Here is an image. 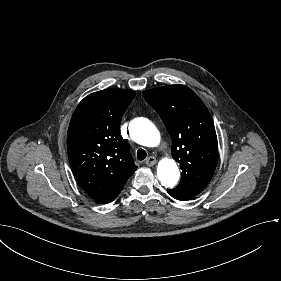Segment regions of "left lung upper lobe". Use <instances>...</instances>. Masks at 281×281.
I'll use <instances>...</instances> for the list:
<instances>
[{
  "mask_svg": "<svg viewBox=\"0 0 281 281\" xmlns=\"http://www.w3.org/2000/svg\"><path fill=\"white\" fill-rule=\"evenodd\" d=\"M172 138V157L182 169L174 189L195 196L211 180L218 161V143L212 117L201 99L184 85L144 91Z\"/></svg>",
  "mask_w": 281,
  "mask_h": 281,
  "instance_id": "5c2ea615",
  "label": "left lung upper lobe"
}]
</instances>
